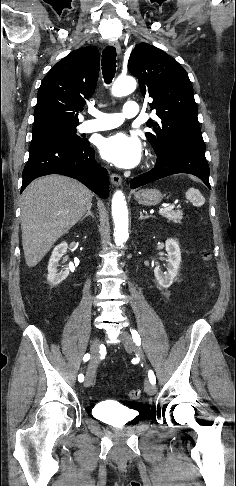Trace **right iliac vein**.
Returning a JSON list of instances; mask_svg holds the SVG:
<instances>
[{"label":"right iliac vein","mask_w":236,"mask_h":486,"mask_svg":"<svg viewBox=\"0 0 236 486\" xmlns=\"http://www.w3.org/2000/svg\"><path fill=\"white\" fill-rule=\"evenodd\" d=\"M99 344L100 341L98 338H95L90 346V352H91V359L88 365L87 373H86V378H85V386L89 387L91 386L96 368H97V362H98V357H99Z\"/></svg>","instance_id":"63e3f726"}]
</instances>
